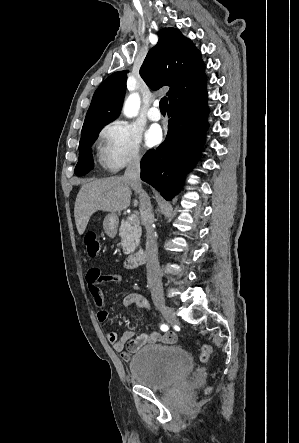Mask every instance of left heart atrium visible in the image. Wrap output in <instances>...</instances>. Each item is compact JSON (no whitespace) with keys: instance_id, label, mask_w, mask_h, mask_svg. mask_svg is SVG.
Instances as JSON below:
<instances>
[{"instance_id":"left-heart-atrium-1","label":"left heart atrium","mask_w":299,"mask_h":443,"mask_svg":"<svg viewBox=\"0 0 299 443\" xmlns=\"http://www.w3.org/2000/svg\"><path fill=\"white\" fill-rule=\"evenodd\" d=\"M162 138V132L159 126L152 125L145 133V143L148 147H152L160 142Z\"/></svg>"}]
</instances>
